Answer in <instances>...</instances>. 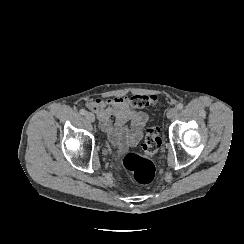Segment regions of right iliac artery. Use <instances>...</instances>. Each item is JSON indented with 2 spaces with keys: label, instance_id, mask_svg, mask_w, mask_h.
Here are the masks:
<instances>
[{
  "label": "right iliac artery",
  "instance_id": "right-iliac-artery-1",
  "mask_svg": "<svg viewBox=\"0 0 244 244\" xmlns=\"http://www.w3.org/2000/svg\"><path fill=\"white\" fill-rule=\"evenodd\" d=\"M86 112H87V111H86L85 109H81V110H80V114H82V115H85Z\"/></svg>",
  "mask_w": 244,
  "mask_h": 244
}]
</instances>
